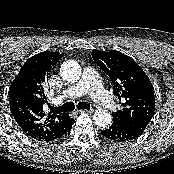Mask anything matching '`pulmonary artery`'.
I'll return each instance as SVG.
<instances>
[{
  "label": "pulmonary artery",
  "mask_w": 174,
  "mask_h": 174,
  "mask_svg": "<svg viewBox=\"0 0 174 174\" xmlns=\"http://www.w3.org/2000/svg\"><path fill=\"white\" fill-rule=\"evenodd\" d=\"M89 94L101 106L113 110L115 103L104 89L99 75L92 68H85L79 82L62 92V98H74Z\"/></svg>",
  "instance_id": "1"
}]
</instances>
